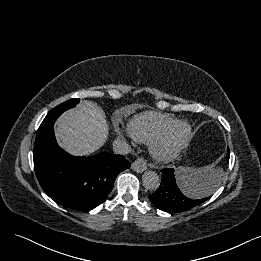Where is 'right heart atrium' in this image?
<instances>
[{
	"mask_svg": "<svg viewBox=\"0 0 261 261\" xmlns=\"http://www.w3.org/2000/svg\"><path fill=\"white\" fill-rule=\"evenodd\" d=\"M116 132L120 135V136H124V137H129L130 133L127 130L121 129V128H116Z\"/></svg>",
	"mask_w": 261,
	"mask_h": 261,
	"instance_id": "obj_1",
	"label": "right heart atrium"
}]
</instances>
